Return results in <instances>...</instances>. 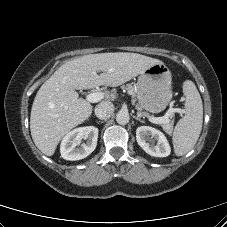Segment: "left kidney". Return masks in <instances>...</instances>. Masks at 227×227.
Wrapping results in <instances>:
<instances>
[{"instance_id":"left-kidney-1","label":"left kidney","mask_w":227,"mask_h":227,"mask_svg":"<svg viewBox=\"0 0 227 227\" xmlns=\"http://www.w3.org/2000/svg\"><path fill=\"white\" fill-rule=\"evenodd\" d=\"M136 140L140 147L154 157H167L171 152L170 145L165 135L152 127L140 126L136 130ZM155 142L157 144L155 145Z\"/></svg>"}]
</instances>
